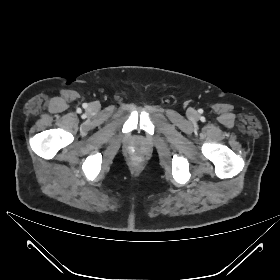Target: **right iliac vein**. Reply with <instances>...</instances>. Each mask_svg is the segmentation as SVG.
I'll list each match as a JSON object with an SVG mask.
<instances>
[{"label":"right iliac vein","mask_w":280,"mask_h":280,"mask_svg":"<svg viewBox=\"0 0 280 280\" xmlns=\"http://www.w3.org/2000/svg\"><path fill=\"white\" fill-rule=\"evenodd\" d=\"M91 108H92V109H97L98 106H97L96 104H93V105L91 106Z\"/></svg>","instance_id":"1"}]
</instances>
